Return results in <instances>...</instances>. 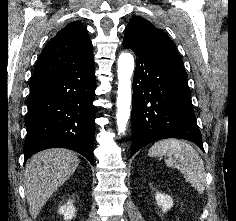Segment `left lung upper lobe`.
Returning <instances> with one entry per match:
<instances>
[{
  "mask_svg": "<svg viewBox=\"0 0 236 221\" xmlns=\"http://www.w3.org/2000/svg\"><path fill=\"white\" fill-rule=\"evenodd\" d=\"M124 39L132 40L142 48L162 55L175 62L182 63L174 42L161 29L156 28L148 20L135 16L126 26Z\"/></svg>",
  "mask_w": 236,
  "mask_h": 221,
  "instance_id": "1",
  "label": "left lung upper lobe"
}]
</instances>
